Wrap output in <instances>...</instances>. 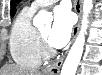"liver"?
Masks as SVG:
<instances>
[{
    "label": "liver",
    "instance_id": "1",
    "mask_svg": "<svg viewBox=\"0 0 102 75\" xmlns=\"http://www.w3.org/2000/svg\"><path fill=\"white\" fill-rule=\"evenodd\" d=\"M0 75H42L37 70H27L15 64H6L0 69Z\"/></svg>",
    "mask_w": 102,
    "mask_h": 75
}]
</instances>
